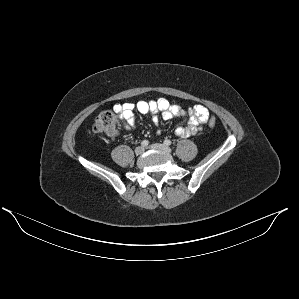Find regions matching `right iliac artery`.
Masks as SVG:
<instances>
[{
	"mask_svg": "<svg viewBox=\"0 0 299 299\" xmlns=\"http://www.w3.org/2000/svg\"><path fill=\"white\" fill-rule=\"evenodd\" d=\"M148 144H149V141H148V140H143V141L141 142V145H142L143 147L148 146Z\"/></svg>",
	"mask_w": 299,
	"mask_h": 299,
	"instance_id": "1",
	"label": "right iliac artery"
}]
</instances>
